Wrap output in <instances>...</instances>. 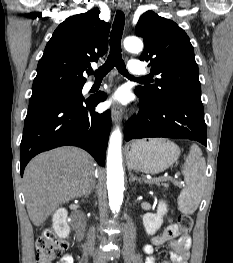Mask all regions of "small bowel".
<instances>
[{"label": "small bowel", "mask_w": 233, "mask_h": 263, "mask_svg": "<svg viewBox=\"0 0 233 263\" xmlns=\"http://www.w3.org/2000/svg\"><path fill=\"white\" fill-rule=\"evenodd\" d=\"M170 243V261L163 260L158 262L155 258V247ZM192 245L191 237L183 233L177 224L170 223L161 235L151 238L150 242L142 248L147 255L144 263H188L190 248ZM72 255H64L57 263H73Z\"/></svg>", "instance_id": "obj_1"}]
</instances>
